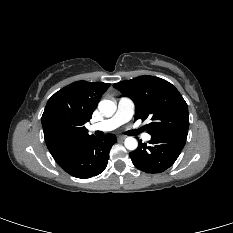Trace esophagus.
<instances>
[{
	"instance_id": "1",
	"label": "esophagus",
	"mask_w": 233,
	"mask_h": 233,
	"mask_svg": "<svg viewBox=\"0 0 233 233\" xmlns=\"http://www.w3.org/2000/svg\"><path fill=\"white\" fill-rule=\"evenodd\" d=\"M117 139H118V140H124V139H125V136H118Z\"/></svg>"
}]
</instances>
